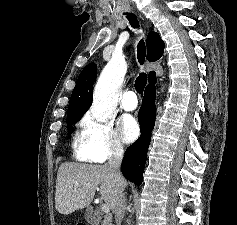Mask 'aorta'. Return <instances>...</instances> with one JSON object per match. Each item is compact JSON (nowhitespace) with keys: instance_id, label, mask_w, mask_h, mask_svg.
<instances>
[{"instance_id":"aorta-1","label":"aorta","mask_w":237,"mask_h":225,"mask_svg":"<svg viewBox=\"0 0 237 225\" xmlns=\"http://www.w3.org/2000/svg\"><path fill=\"white\" fill-rule=\"evenodd\" d=\"M126 70L124 58L117 56H112L103 69L94 89L91 108L93 117L98 121L106 122L112 117Z\"/></svg>"}]
</instances>
